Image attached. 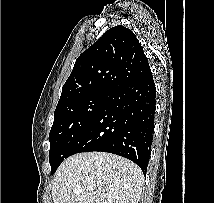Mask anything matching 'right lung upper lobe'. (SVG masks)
I'll return each instance as SVG.
<instances>
[{"mask_svg":"<svg viewBox=\"0 0 214 203\" xmlns=\"http://www.w3.org/2000/svg\"><path fill=\"white\" fill-rule=\"evenodd\" d=\"M151 72L136 35L118 25L106 31L76 60L57 107L92 94H111Z\"/></svg>","mask_w":214,"mask_h":203,"instance_id":"right-lung-upper-lobe-1","label":"right lung upper lobe"}]
</instances>
